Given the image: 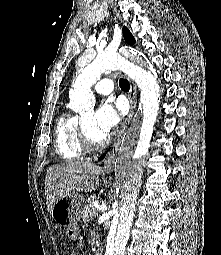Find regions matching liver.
<instances>
[{
	"mask_svg": "<svg viewBox=\"0 0 221 255\" xmlns=\"http://www.w3.org/2000/svg\"><path fill=\"white\" fill-rule=\"evenodd\" d=\"M100 166L91 162L68 161L48 168L45 177L47 210L63 196L75 192H92L99 185Z\"/></svg>",
	"mask_w": 221,
	"mask_h": 255,
	"instance_id": "6515ba94",
	"label": "liver"
}]
</instances>
